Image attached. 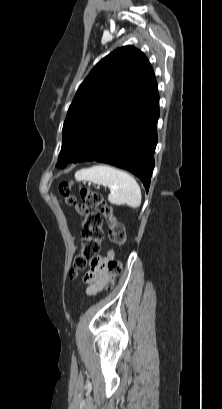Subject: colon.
Listing matches in <instances>:
<instances>
[{"mask_svg": "<svg viewBox=\"0 0 222 409\" xmlns=\"http://www.w3.org/2000/svg\"><path fill=\"white\" fill-rule=\"evenodd\" d=\"M58 189L65 203L74 207L79 214L84 216L81 250L74 257L70 270L71 277H75L79 271L86 268L90 256H96L103 239L102 225L104 220L109 226L110 240L116 245L123 246L126 243V233L124 226L116 220L111 208L107 206L103 196L98 191L82 187L80 190L81 202L79 203L72 194L71 181H62ZM110 263L107 290L114 286L115 279L122 273L123 269L121 260H110Z\"/></svg>", "mask_w": 222, "mask_h": 409, "instance_id": "colon-1", "label": "colon"}]
</instances>
